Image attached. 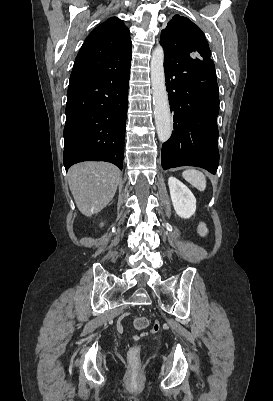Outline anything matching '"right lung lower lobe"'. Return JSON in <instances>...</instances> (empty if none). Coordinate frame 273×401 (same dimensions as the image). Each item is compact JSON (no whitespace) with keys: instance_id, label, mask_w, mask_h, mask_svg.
Segmentation results:
<instances>
[{"instance_id":"98d812e1","label":"right lung lower lobe","mask_w":273,"mask_h":401,"mask_svg":"<svg viewBox=\"0 0 273 401\" xmlns=\"http://www.w3.org/2000/svg\"><path fill=\"white\" fill-rule=\"evenodd\" d=\"M131 59L102 76L68 89L63 161L66 170L82 161L123 167Z\"/></svg>"}]
</instances>
